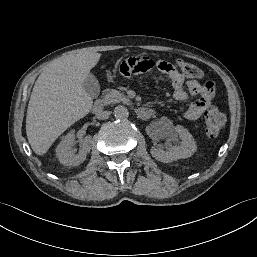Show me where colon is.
<instances>
[{"label": "colon", "instance_id": "5ec220e1", "mask_svg": "<svg viewBox=\"0 0 257 257\" xmlns=\"http://www.w3.org/2000/svg\"><path fill=\"white\" fill-rule=\"evenodd\" d=\"M133 57L132 59H134ZM173 65V64H172ZM173 68L180 70L185 79L188 77H193L195 79L201 78L203 76V72L200 68L191 64L189 62H185L182 60H178L173 65ZM225 124L224 115L215 107H209L205 112V128L206 133L210 138H216L219 133L222 131Z\"/></svg>", "mask_w": 257, "mask_h": 257}]
</instances>
